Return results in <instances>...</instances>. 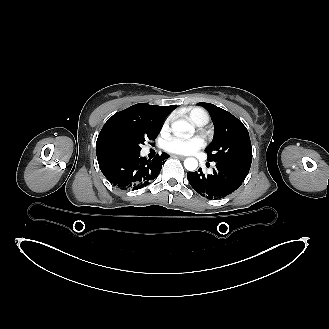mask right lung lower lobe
Here are the masks:
<instances>
[{
	"mask_svg": "<svg viewBox=\"0 0 329 329\" xmlns=\"http://www.w3.org/2000/svg\"><path fill=\"white\" fill-rule=\"evenodd\" d=\"M162 153L152 160L140 156V152L108 155L98 159L103 175L122 190H137L149 185L159 175L165 159Z\"/></svg>",
	"mask_w": 329,
	"mask_h": 329,
	"instance_id": "right-lung-lower-lobe-1",
	"label": "right lung lower lobe"
}]
</instances>
